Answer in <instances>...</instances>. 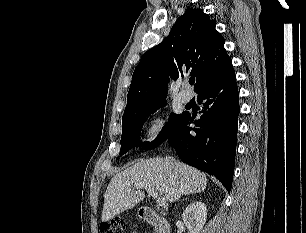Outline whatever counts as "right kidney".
<instances>
[{"label": "right kidney", "instance_id": "1", "mask_svg": "<svg viewBox=\"0 0 306 233\" xmlns=\"http://www.w3.org/2000/svg\"><path fill=\"white\" fill-rule=\"evenodd\" d=\"M206 218V205L200 201L190 204L182 214L183 222L189 230L188 233H200L205 225Z\"/></svg>", "mask_w": 306, "mask_h": 233}]
</instances>
